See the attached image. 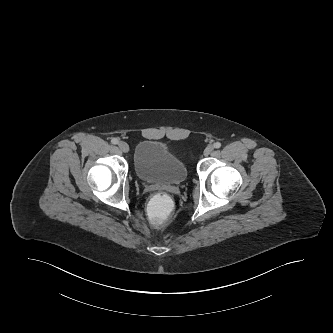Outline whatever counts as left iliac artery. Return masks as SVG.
<instances>
[{
  "label": "left iliac artery",
  "mask_w": 333,
  "mask_h": 333,
  "mask_svg": "<svg viewBox=\"0 0 333 333\" xmlns=\"http://www.w3.org/2000/svg\"><path fill=\"white\" fill-rule=\"evenodd\" d=\"M214 147H215V148H220V147H221V143H220V142H216V143H214Z\"/></svg>",
  "instance_id": "44dca946"
}]
</instances>
